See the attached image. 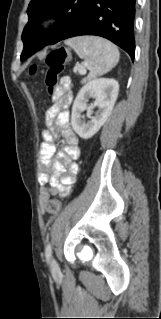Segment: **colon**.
I'll list each match as a JSON object with an SVG mask.
<instances>
[{
	"label": "colon",
	"instance_id": "colon-1",
	"mask_svg": "<svg viewBox=\"0 0 161 319\" xmlns=\"http://www.w3.org/2000/svg\"><path fill=\"white\" fill-rule=\"evenodd\" d=\"M68 58L69 54L67 50L64 48H59L52 51L46 59L48 71L46 72L44 78V87L47 94L51 98L55 96L59 75L62 72L64 65L67 63ZM37 71V65H32L30 68V73L35 74ZM46 208L50 213H59L61 211V202L58 200H51L47 203Z\"/></svg>",
	"mask_w": 161,
	"mask_h": 319
}]
</instances>
